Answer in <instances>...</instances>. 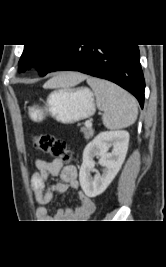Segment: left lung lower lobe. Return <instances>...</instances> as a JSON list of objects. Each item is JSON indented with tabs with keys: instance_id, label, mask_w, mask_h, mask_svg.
Wrapping results in <instances>:
<instances>
[{
	"instance_id": "0a47b994",
	"label": "left lung lower lobe",
	"mask_w": 166,
	"mask_h": 267,
	"mask_svg": "<svg viewBox=\"0 0 166 267\" xmlns=\"http://www.w3.org/2000/svg\"><path fill=\"white\" fill-rule=\"evenodd\" d=\"M63 70L112 81L132 93L141 107L144 105L145 81L138 45H65L47 73Z\"/></svg>"
}]
</instances>
